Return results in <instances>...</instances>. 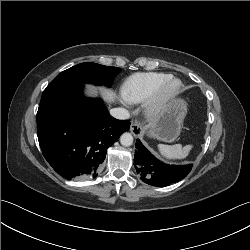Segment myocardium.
<instances>
[{
    "instance_id": "obj_1",
    "label": "myocardium",
    "mask_w": 250,
    "mask_h": 250,
    "mask_svg": "<svg viewBox=\"0 0 250 250\" xmlns=\"http://www.w3.org/2000/svg\"><path fill=\"white\" fill-rule=\"evenodd\" d=\"M182 83L175 77L163 81L145 100V111L148 117L157 118L168 104L180 93Z\"/></svg>"
}]
</instances>
